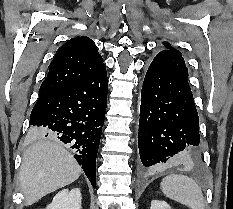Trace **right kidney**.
<instances>
[{"label":"right kidney","instance_id":"ca27d5eb","mask_svg":"<svg viewBox=\"0 0 233 209\" xmlns=\"http://www.w3.org/2000/svg\"><path fill=\"white\" fill-rule=\"evenodd\" d=\"M81 199L79 188L64 189L54 196L46 209H81Z\"/></svg>","mask_w":233,"mask_h":209}]
</instances>
